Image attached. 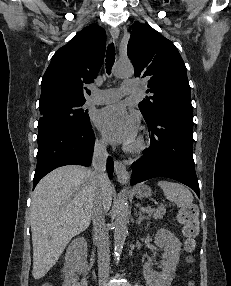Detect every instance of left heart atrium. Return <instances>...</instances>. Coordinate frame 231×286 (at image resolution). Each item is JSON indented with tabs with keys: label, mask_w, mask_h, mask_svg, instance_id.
Segmentation results:
<instances>
[{
	"label": "left heart atrium",
	"mask_w": 231,
	"mask_h": 286,
	"mask_svg": "<svg viewBox=\"0 0 231 286\" xmlns=\"http://www.w3.org/2000/svg\"><path fill=\"white\" fill-rule=\"evenodd\" d=\"M95 124L108 141L115 144H131L137 133V120L121 104L101 109Z\"/></svg>",
	"instance_id": "1"
}]
</instances>
